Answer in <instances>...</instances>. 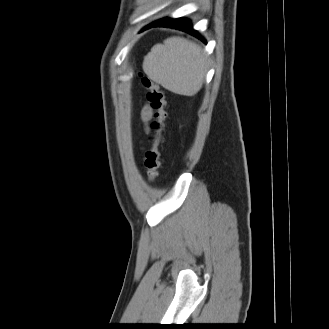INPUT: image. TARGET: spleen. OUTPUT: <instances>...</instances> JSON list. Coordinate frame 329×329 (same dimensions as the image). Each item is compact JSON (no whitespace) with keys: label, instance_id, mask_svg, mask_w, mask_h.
I'll list each match as a JSON object with an SVG mask.
<instances>
[{"label":"spleen","instance_id":"obj_1","mask_svg":"<svg viewBox=\"0 0 329 329\" xmlns=\"http://www.w3.org/2000/svg\"><path fill=\"white\" fill-rule=\"evenodd\" d=\"M143 70L154 82L179 95L192 96L202 87L206 57L201 48L181 37L156 44L144 57Z\"/></svg>","mask_w":329,"mask_h":329}]
</instances>
